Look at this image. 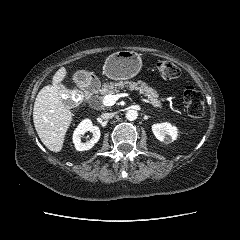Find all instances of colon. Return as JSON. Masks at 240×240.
Here are the masks:
<instances>
[{"instance_id":"5ec220e1","label":"colon","mask_w":240,"mask_h":240,"mask_svg":"<svg viewBox=\"0 0 240 240\" xmlns=\"http://www.w3.org/2000/svg\"><path fill=\"white\" fill-rule=\"evenodd\" d=\"M158 76L164 80H172L179 76V68L170 61L161 60L155 65ZM184 105L187 114L192 119L200 118L204 113V99L202 94L193 86H187L183 92Z\"/></svg>"}]
</instances>
